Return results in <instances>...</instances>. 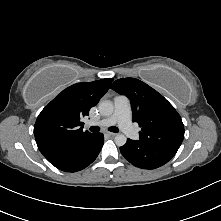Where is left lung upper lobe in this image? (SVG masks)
Returning a JSON list of instances; mask_svg holds the SVG:
<instances>
[{
  "mask_svg": "<svg viewBox=\"0 0 221 221\" xmlns=\"http://www.w3.org/2000/svg\"><path fill=\"white\" fill-rule=\"evenodd\" d=\"M111 89L130 99L133 121L142 128L138 141L179 149L184 125L175 108L161 94L135 78L118 79Z\"/></svg>",
  "mask_w": 221,
  "mask_h": 221,
  "instance_id": "5c2ea615",
  "label": "left lung upper lobe"
}]
</instances>
